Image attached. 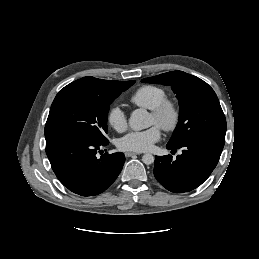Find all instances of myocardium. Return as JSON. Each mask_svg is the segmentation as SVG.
Instances as JSON below:
<instances>
[{
    "mask_svg": "<svg viewBox=\"0 0 259 259\" xmlns=\"http://www.w3.org/2000/svg\"><path fill=\"white\" fill-rule=\"evenodd\" d=\"M151 115L155 118L156 124L166 132L174 131L181 118L179 106L175 101L168 98L152 109Z\"/></svg>",
    "mask_w": 259,
    "mask_h": 259,
    "instance_id": "f54148a6",
    "label": "myocardium"
}]
</instances>
